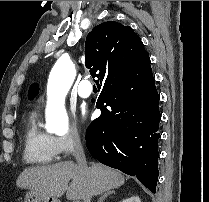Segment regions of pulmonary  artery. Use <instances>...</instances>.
<instances>
[{"instance_id": "e3ab8cb5", "label": "pulmonary artery", "mask_w": 209, "mask_h": 202, "mask_svg": "<svg viewBox=\"0 0 209 202\" xmlns=\"http://www.w3.org/2000/svg\"><path fill=\"white\" fill-rule=\"evenodd\" d=\"M92 93V86L90 85L87 78L80 84L78 89V94L82 98H87Z\"/></svg>"}]
</instances>
